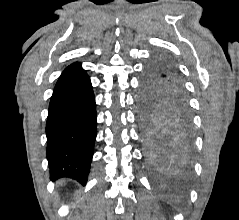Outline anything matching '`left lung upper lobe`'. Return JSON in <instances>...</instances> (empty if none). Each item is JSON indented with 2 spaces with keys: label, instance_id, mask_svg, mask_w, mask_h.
Returning <instances> with one entry per match:
<instances>
[{
  "label": "left lung upper lobe",
  "instance_id": "left-lung-upper-lobe-1",
  "mask_svg": "<svg viewBox=\"0 0 239 220\" xmlns=\"http://www.w3.org/2000/svg\"><path fill=\"white\" fill-rule=\"evenodd\" d=\"M188 112L180 70L175 62L158 55L146 70L141 96V122L145 130L156 128L169 112Z\"/></svg>",
  "mask_w": 239,
  "mask_h": 220
}]
</instances>
